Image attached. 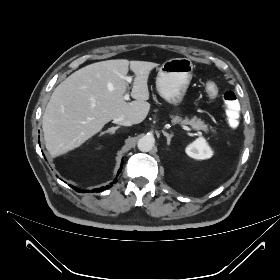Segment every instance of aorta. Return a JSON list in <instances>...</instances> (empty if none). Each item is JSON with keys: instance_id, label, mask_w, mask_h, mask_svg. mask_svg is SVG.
Returning a JSON list of instances; mask_svg holds the SVG:
<instances>
[{"instance_id": "aorta-1", "label": "aorta", "mask_w": 280, "mask_h": 280, "mask_svg": "<svg viewBox=\"0 0 280 280\" xmlns=\"http://www.w3.org/2000/svg\"><path fill=\"white\" fill-rule=\"evenodd\" d=\"M154 143V137L146 135L138 140L137 147L142 152H149L153 148Z\"/></svg>"}]
</instances>
